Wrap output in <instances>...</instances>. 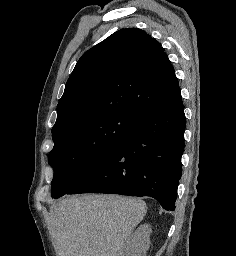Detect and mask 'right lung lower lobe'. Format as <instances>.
<instances>
[{
	"label": "right lung lower lobe",
	"mask_w": 236,
	"mask_h": 256,
	"mask_svg": "<svg viewBox=\"0 0 236 256\" xmlns=\"http://www.w3.org/2000/svg\"><path fill=\"white\" fill-rule=\"evenodd\" d=\"M185 114L181 94L143 116L126 137L66 194L150 196L175 209L182 173Z\"/></svg>",
	"instance_id": "right-lung-lower-lobe-1"
}]
</instances>
